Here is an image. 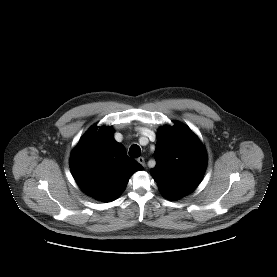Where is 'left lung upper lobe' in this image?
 <instances>
[{
  "instance_id": "5c2ea615",
  "label": "left lung upper lobe",
  "mask_w": 277,
  "mask_h": 277,
  "mask_svg": "<svg viewBox=\"0 0 277 277\" xmlns=\"http://www.w3.org/2000/svg\"><path fill=\"white\" fill-rule=\"evenodd\" d=\"M154 156L156 166L150 171L161 193L169 200L191 193L200 183L207 164L202 143L179 122L159 130Z\"/></svg>"
}]
</instances>
